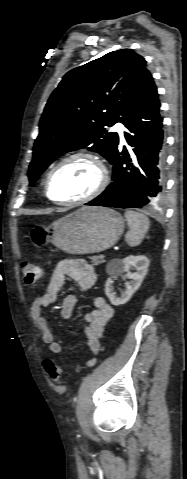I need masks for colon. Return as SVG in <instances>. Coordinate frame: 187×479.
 <instances>
[{"label": "colon", "instance_id": "5ec220e1", "mask_svg": "<svg viewBox=\"0 0 187 479\" xmlns=\"http://www.w3.org/2000/svg\"><path fill=\"white\" fill-rule=\"evenodd\" d=\"M23 280L26 284H34L42 277V268L31 260L24 259L20 264ZM44 369L50 379L58 384L62 383V377L67 375L61 365L53 360L44 361Z\"/></svg>", "mask_w": 187, "mask_h": 479}]
</instances>
